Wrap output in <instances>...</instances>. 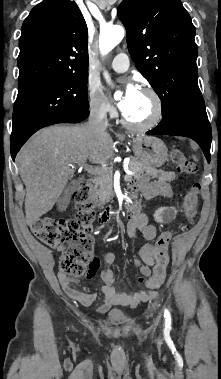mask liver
Here are the masks:
<instances>
[{
	"mask_svg": "<svg viewBox=\"0 0 221 379\" xmlns=\"http://www.w3.org/2000/svg\"><path fill=\"white\" fill-rule=\"evenodd\" d=\"M113 154L110 134L92 132L85 126H51L37 132L17 154L26 187V222L32 225L50 211L68 181L73 166L89 160L105 163Z\"/></svg>",
	"mask_w": 221,
	"mask_h": 379,
	"instance_id": "1",
	"label": "liver"
}]
</instances>
